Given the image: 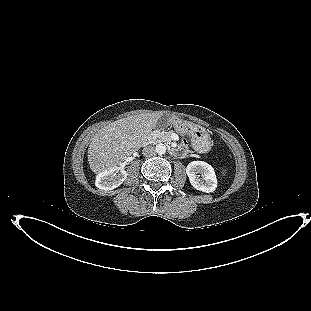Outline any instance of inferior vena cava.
<instances>
[{"label": "inferior vena cava", "instance_id": "1", "mask_svg": "<svg viewBox=\"0 0 311 311\" xmlns=\"http://www.w3.org/2000/svg\"><path fill=\"white\" fill-rule=\"evenodd\" d=\"M142 153L144 156L149 157L155 154V149L152 145L143 148Z\"/></svg>", "mask_w": 311, "mask_h": 311}]
</instances>
